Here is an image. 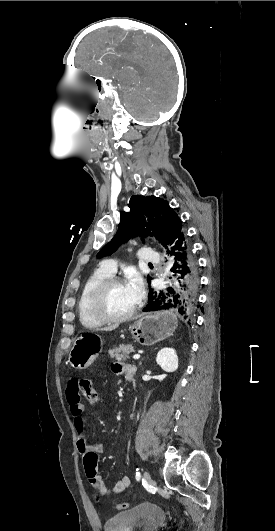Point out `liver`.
I'll use <instances>...</instances> for the list:
<instances>
[{
  "mask_svg": "<svg viewBox=\"0 0 275 531\" xmlns=\"http://www.w3.org/2000/svg\"><path fill=\"white\" fill-rule=\"evenodd\" d=\"M119 327V323H115V325H110V327H104V329H98V331H114V329H117Z\"/></svg>",
  "mask_w": 275,
  "mask_h": 531,
  "instance_id": "6515ba94",
  "label": "liver"
}]
</instances>
